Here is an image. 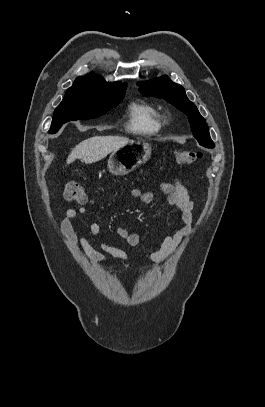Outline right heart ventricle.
<instances>
[{"label": "right heart ventricle", "mask_w": 265, "mask_h": 407, "mask_svg": "<svg viewBox=\"0 0 265 407\" xmlns=\"http://www.w3.org/2000/svg\"><path fill=\"white\" fill-rule=\"evenodd\" d=\"M127 129L140 136L158 133L162 127L159 112L151 105L133 102L128 110Z\"/></svg>", "instance_id": "e07e8e85"}]
</instances>
